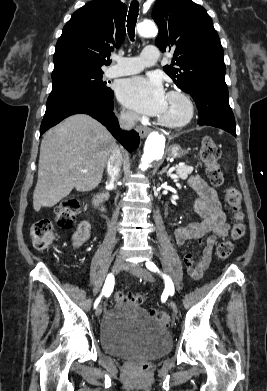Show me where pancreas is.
Here are the masks:
<instances>
[{"label": "pancreas", "mask_w": 267, "mask_h": 391, "mask_svg": "<svg viewBox=\"0 0 267 391\" xmlns=\"http://www.w3.org/2000/svg\"><path fill=\"white\" fill-rule=\"evenodd\" d=\"M193 172V167L191 166H177L176 174L179 178L185 180L188 178V175Z\"/></svg>", "instance_id": "1"}]
</instances>
